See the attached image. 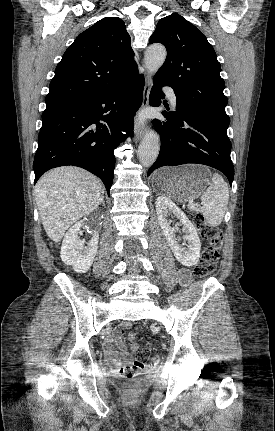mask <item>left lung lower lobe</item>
Masks as SVG:
<instances>
[{"label": "left lung lower lobe", "instance_id": "1", "mask_svg": "<svg viewBox=\"0 0 275 431\" xmlns=\"http://www.w3.org/2000/svg\"><path fill=\"white\" fill-rule=\"evenodd\" d=\"M165 81L154 79L150 93L151 106H160L164 98L161 88ZM167 122L154 120L161 136V148L155 163L148 170L150 175L162 166L198 163L211 166L224 173L232 184L234 167L230 158L231 142L227 136L229 124L215 121L189 110L176 107V111H163Z\"/></svg>", "mask_w": 275, "mask_h": 431}]
</instances>
